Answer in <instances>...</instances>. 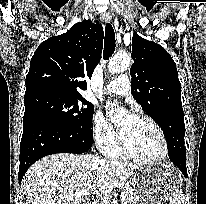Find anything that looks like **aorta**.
Returning a JSON list of instances; mask_svg holds the SVG:
<instances>
[{
    "instance_id": "obj_1",
    "label": "aorta",
    "mask_w": 206,
    "mask_h": 204,
    "mask_svg": "<svg viewBox=\"0 0 206 204\" xmlns=\"http://www.w3.org/2000/svg\"><path fill=\"white\" fill-rule=\"evenodd\" d=\"M131 60L127 54L118 53L110 59L108 63V70L111 74L119 73L126 70L130 66ZM125 114L124 109L116 111V119L121 118Z\"/></svg>"
}]
</instances>
